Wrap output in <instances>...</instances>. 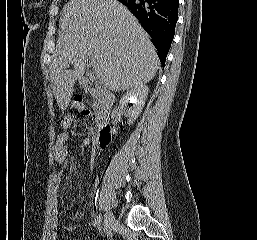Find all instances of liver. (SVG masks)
<instances>
[{"label": "liver", "instance_id": "6515ba94", "mask_svg": "<svg viewBox=\"0 0 257 240\" xmlns=\"http://www.w3.org/2000/svg\"><path fill=\"white\" fill-rule=\"evenodd\" d=\"M59 22L51 82L61 110L69 106L88 58L99 63V79L112 91L144 85L155 76L159 67L155 47L133 14L117 0H70ZM70 64L72 70L67 69Z\"/></svg>", "mask_w": 257, "mask_h": 240}]
</instances>
